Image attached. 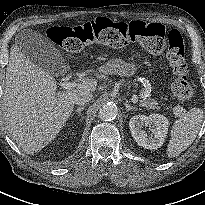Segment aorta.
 Here are the masks:
<instances>
[{
    "label": "aorta",
    "instance_id": "1",
    "mask_svg": "<svg viewBox=\"0 0 205 205\" xmlns=\"http://www.w3.org/2000/svg\"><path fill=\"white\" fill-rule=\"evenodd\" d=\"M116 115H117V110L111 104L104 105L99 110V117L103 121H111L115 119Z\"/></svg>",
    "mask_w": 205,
    "mask_h": 205
}]
</instances>
